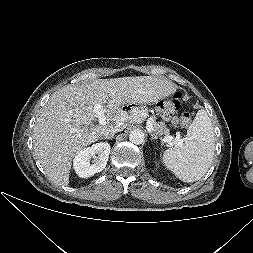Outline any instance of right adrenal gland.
Listing matches in <instances>:
<instances>
[{
	"label": "right adrenal gland",
	"mask_w": 253,
	"mask_h": 253,
	"mask_svg": "<svg viewBox=\"0 0 253 253\" xmlns=\"http://www.w3.org/2000/svg\"><path fill=\"white\" fill-rule=\"evenodd\" d=\"M114 138V135H111V136H109V137H104V139H113ZM101 139H103V138H101Z\"/></svg>",
	"instance_id": "2a0ac1e0"
}]
</instances>
